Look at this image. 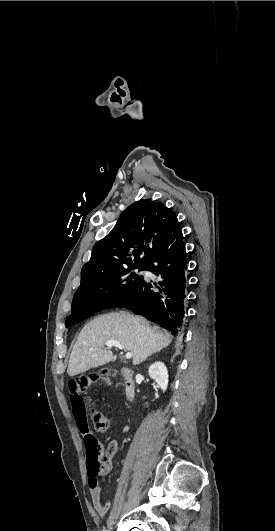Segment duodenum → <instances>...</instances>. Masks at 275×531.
<instances>
[{
    "instance_id": "410a0bca",
    "label": "duodenum",
    "mask_w": 275,
    "mask_h": 531,
    "mask_svg": "<svg viewBox=\"0 0 275 531\" xmlns=\"http://www.w3.org/2000/svg\"><path fill=\"white\" fill-rule=\"evenodd\" d=\"M120 375L124 383V392L128 400H132L136 392V381L133 369L130 367H122L120 369Z\"/></svg>"
}]
</instances>
